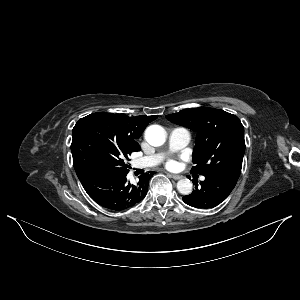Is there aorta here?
Returning <instances> with one entry per match:
<instances>
[{
  "mask_svg": "<svg viewBox=\"0 0 300 300\" xmlns=\"http://www.w3.org/2000/svg\"><path fill=\"white\" fill-rule=\"evenodd\" d=\"M145 139L152 146H161L166 141V132L159 125H151L145 130ZM193 184L189 179H181L177 182V190L183 195L191 194Z\"/></svg>",
  "mask_w": 300,
  "mask_h": 300,
  "instance_id": "1",
  "label": "aorta"
}]
</instances>
